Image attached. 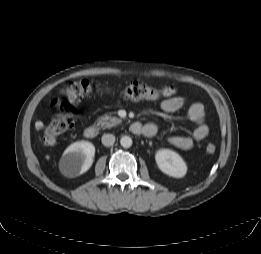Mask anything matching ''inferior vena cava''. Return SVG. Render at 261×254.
Instances as JSON below:
<instances>
[{
  "label": "inferior vena cava",
  "mask_w": 261,
  "mask_h": 254,
  "mask_svg": "<svg viewBox=\"0 0 261 254\" xmlns=\"http://www.w3.org/2000/svg\"><path fill=\"white\" fill-rule=\"evenodd\" d=\"M101 141L104 146H112L115 142V136L112 134H104Z\"/></svg>",
  "instance_id": "1"
}]
</instances>
